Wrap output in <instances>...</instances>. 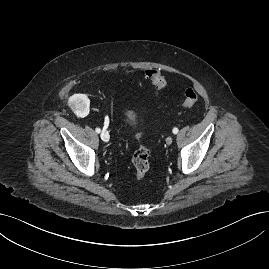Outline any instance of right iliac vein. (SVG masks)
Returning <instances> with one entry per match:
<instances>
[{
    "label": "right iliac vein",
    "instance_id": "obj_1",
    "mask_svg": "<svg viewBox=\"0 0 269 269\" xmlns=\"http://www.w3.org/2000/svg\"><path fill=\"white\" fill-rule=\"evenodd\" d=\"M100 136H101V139H102L103 141H105V142H108V141H109L110 135H109L108 131L103 130V131L101 132Z\"/></svg>",
    "mask_w": 269,
    "mask_h": 269
}]
</instances>
